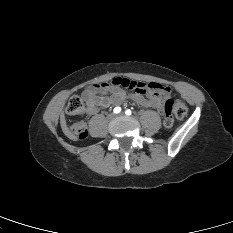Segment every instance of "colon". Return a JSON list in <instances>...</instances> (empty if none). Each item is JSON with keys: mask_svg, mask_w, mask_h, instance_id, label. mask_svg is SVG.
Returning <instances> with one entry per match:
<instances>
[{"mask_svg": "<svg viewBox=\"0 0 233 233\" xmlns=\"http://www.w3.org/2000/svg\"><path fill=\"white\" fill-rule=\"evenodd\" d=\"M109 85H120L123 88H127L133 91H157L159 89L156 85L145 86L143 83L129 80V79H119L112 80ZM85 111V105L79 96H72L67 104L66 112L71 116H79L82 115ZM164 125L166 127H171L174 124V118L182 119L187 114V107L179 99H168L164 104ZM69 136L76 139H84L87 137L88 131L87 126L84 121H77L72 123L68 128Z\"/></svg>", "mask_w": 233, "mask_h": 233, "instance_id": "5ec220e1", "label": "colon"}]
</instances>
